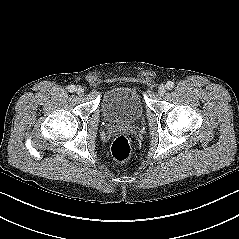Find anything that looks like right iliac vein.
I'll return each mask as SVG.
<instances>
[{
    "label": "right iliac vein",
    "mask_w": 239,
    "mask_h": 239,
    "mask_svg": "<svg viewBox=\"0 0 239 239\" xmlns=\"http://www.w3.org/2000/svg\"><path fill=\"white\" fill-rule=\"evenodd\" d=\"M75 91L78 95H82L84 93V89L81 86H77Z\"/></svg>",
    "instance_id": "obj_1"
}]
</instances>
